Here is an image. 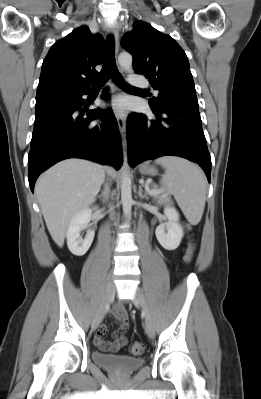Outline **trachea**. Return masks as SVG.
<instances>
[{"instance_id": "1", "label": "trachea", "mask_w": 261, "mask_h": 399, "mask_svg": "<svg viewBox=\"0 0 261 399\" xmlns=\"http://www.w3.org/2000/svg\"><path fill=\"white\" fill-rule=\"evenodd\" d=\"M110 78L119 88L138 89L128 84L117 69L114 54V40L112 36L107 38L106 56L101 72L99 75L89 79L88 82L92 84V88H101Z\"/></svg>"}]
</instances>
